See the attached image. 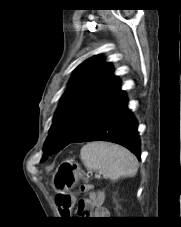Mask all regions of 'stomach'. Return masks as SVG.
Wrapping results in <instances>:
<instances>
[{"label":"stomach","mask_w":181,"mask_h":227,"mask_svg":"<svg viewBox=\"0 0 181 227\" xmlns=\"http://www.w3.org/2000/svg\"><path fill=\"white\" fill-rule=\"evenodd\" d=\"M81 168L74 160H65L57 168L52 177V187L57 193L70 192L78 183Z\"/></svg>","instance_id":"1"}]
</instances>
